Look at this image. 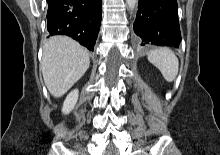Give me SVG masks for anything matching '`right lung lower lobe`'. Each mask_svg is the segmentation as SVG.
Listing matches in <instances>:
<instances>
[{"mask_svg": "<svg viewBox=\"0 0 220 155\" xmlns=\"http://www.w3.org/2000/svg\"><path fill=\"white\" fill-rule=\"evenodd\" d=\"M47 29L51 35H67L94 50L101 15V0H47Z\"/></svg>", "mask_w": 220, "mask_h": 155, "instance_id": "right-lung-lower-lobe-1", "label": "right lung lower lobe"}]
</instances>
